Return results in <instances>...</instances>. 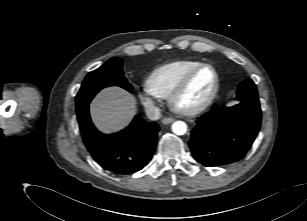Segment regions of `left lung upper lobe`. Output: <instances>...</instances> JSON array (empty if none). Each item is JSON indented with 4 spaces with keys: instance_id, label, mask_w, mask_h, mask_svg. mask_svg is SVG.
Instances as JSON below:
<instances>
[{
    "instance_id": "5c2ea615",
    "label": "left lung upper lobe",
    "mask_w": 307,
    "mask_h": 221,
    "mask_svg": "<svg viewBox=\"0 0 307 221\" xmlns=\"http://www.w3.org/2000/svg\"><path fill=\"white\" fill-rule=\"evenodd\" d=\"M239 93H257L256 85L251 79L242 81L238 87Z\"/></svg>"
}]
</instances>
